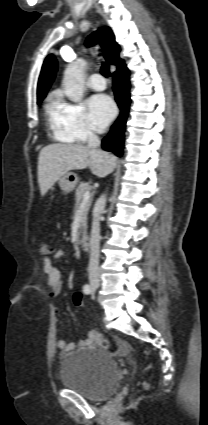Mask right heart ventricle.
Returning a JSON list of instances; mask_svg holds the SVG:
<instances>
[{
  "instance_id": "e07e8e85",
  "label": "right heart ventricle",
  "mask_w": 208,
  "mask_h": 425,
  "mask_svg": "<svg viewBox=\"0 0 208 425\" xmlns=\"http://www.w3.org/2000/svg\"><path fill=\"white\" fill-rule=\"evenodd\" d=\"M56 103H57V99L50 97L46 105V112L48 115L49 124L53 129L54 137L58 141L71 143L74 140L65 131H63L58 125Z\"/></svg>"
}]
</instances>
